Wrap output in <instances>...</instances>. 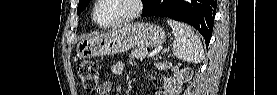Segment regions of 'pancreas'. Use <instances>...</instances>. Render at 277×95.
Here are the masks:
<instances>
[{
	"mask_svg": "<svg viewBox=\"0 0 277 95\" xmlns=\"http://www.w3.org/2000/svg\"><path fill=\"white\" fill-rule=\"evenodd\" d=\"M149 55V50L147 48H144V47H140V48H137V49H134L130 56L131 58L133 59H139V58H145ZM154 59H158V55H156L154 57Z\"/></svg>",
	"mask_w": 277,
	"mask_h": 95,
	"instance_id": "pancreas-1",
	"label": "pancreas"
}]
</instances>
